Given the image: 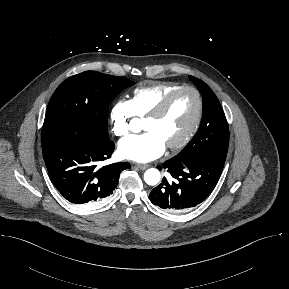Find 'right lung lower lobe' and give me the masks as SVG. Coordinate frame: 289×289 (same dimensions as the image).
<instances>
[{"instance_id":"98d812e1","label":"right lung lower lobe","mask_w":289,"mask_h":289,"mask_svg":"<svg viewBox=\"0 0 289 289\" xmlns=\"http://www.w3.org/2000/svg\"><path fill=\"white\" fill-rule=\"evenodd\" d=\"M112 141L99 142L79 134H64L42 142L49 176L63 197L74 204H95L110 196L127 162L100 167L111 157Z\"/></svg>"}]
</instances>
